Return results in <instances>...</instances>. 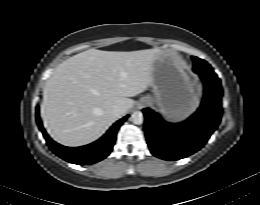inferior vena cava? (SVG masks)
<instances>
[{
    "mask_svg": "<svg viewBox=\"0 0 260 205\" xmlns=\"http://www.w3.org/2000/svg\"><path fill=\"white\" fill-rule=\"evenodd\" d=\"M126 112V109L123 105H115L112 109H111V114L115 117V118H119L122 115H124Z\"/></svg>",
    "mask_w": 260,
    "mask_h": 205,
    "instance_id": "602c4592",
    "label": "inferior vena cava"
}]
</instances>
